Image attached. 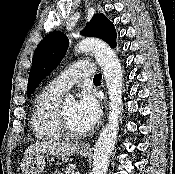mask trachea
<instances>
[{"instance_id": "trachea-1", "label": "trachea", "mask_w": 175, "mask_h": 174, "mask_svg": "<svg viewBox=\"0 0 175 174\" xmlns=\"http://www.w3.org/2000/svg\"><path fill=\"white\" fill-rule=\"evenodd\" d=\"M102 79V75L101 74H97L94 76L93 81H100Z\"/></svg>"}]
</instances>
